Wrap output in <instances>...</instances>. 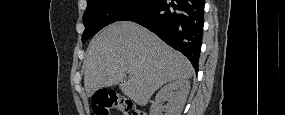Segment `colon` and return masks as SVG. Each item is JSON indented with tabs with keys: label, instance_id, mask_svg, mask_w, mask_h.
Returning a JSON list of instances; mask_svg holds the SVG:
<instances>
[{
	"label": "colon",
	"instance_id": "obj_1",
	"mask_svg": "<svg viewBox=\"0 0 285 115\" xmlns=\"http://www.w3.org/2000/svg\"><path fill=\"white\" fill-rule=\"evenodd\" d=\"M92 108L95 115H109L112 110L119 111L123 115H144L143 112L135 108L130 100L121 98L113 91L105 89L94 95Z\"/></svg>",
	"mask_w": 285,
	"mask_h": 115
}]
</instances>
